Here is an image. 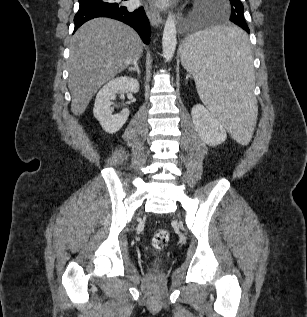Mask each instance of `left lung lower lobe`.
I'll list each match as a JSON object with an SVG mask.
<instances>
[{"instance_id":"left-lung-lower-lobe-1","label":"left lung lower lobe","mask_w":307,"mask_h":317,"mask_svg":"<svg viewBox=\"0 0 307 317\" xmlns=\"http://www.w3.org/2000/svg\"><path fill=\"white\" fill-rule=\"evenodd\" d=\"M231 22H233L234 24L241 27L244 30V32L242 31L240 33V35H238V36L226 37L224 39L223 44L227 48L234 50V51H237V50L241 49L248 42L246 32L250 33V31H249L247 24H242L238 19L231 20Z\"/></svg>"}]
</instances>
